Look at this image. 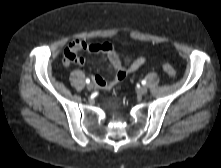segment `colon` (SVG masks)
Wrapping results in <instances>:
<instances>
[{"instance_id": "1", "label": "colon", "mask_w": 221, "mask_h": 168, "mask_svg": "<svg viewBox=\"0 0 221 168\" xmlns=\"http://www.w3.org/2000/svg\"><path fill=\"white\" fill-rule=\"evenodd\" d=\"M163 70L171 78H174L176 76L175 69L170 64H168V63H165L163 65Z\"/></svg>"}]
</instances>
